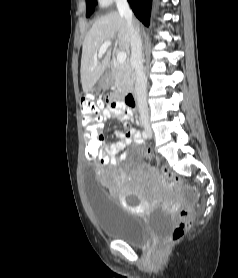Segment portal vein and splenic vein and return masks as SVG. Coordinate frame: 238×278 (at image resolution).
Instances as JSON below:
<instances>
[{"label": "portal vein and splenic vein", "instance_id": "18ae733b", "mask_svg": "<svg viewBox=\"0 0 238 278\" xmlns=\"http://www.w3.org/2000/svg\"><path fill=\"white\" fill-rule=\"evenodd\" d=\"M112 45L111 41L104 42L98 51V56L102 57V55L106 52V50ZM127 58V54L125 52H119L117 54V63L124 64Z\"/></svg>", "mask_w": 238, "mask_h": 278}]
</instances>
